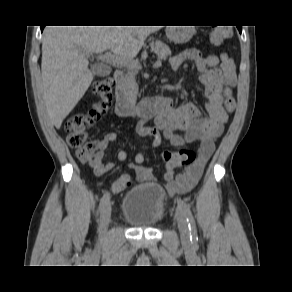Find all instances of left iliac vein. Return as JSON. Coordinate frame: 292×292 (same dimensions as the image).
Listing matches in <instances>:
<instances>
[{
    "mask_svg": "<svg viewBox=\"0 0 292 292\" xmlns=\"http://www.w3.org/2000/svg\"><path fill=\"white\" fill-rule=\"evenodd\" d=\"M175 218H176V222L178 225L181 238L184 240L188 239L189 237L188 222H187L184 212L180 208L176 210Z\"/></svg>",
    "mask_w": 292,
    "mask_h": 292,
    "instance_id": "4c4485c4",
    "label": "left iliac vein"
}]
</instances>
